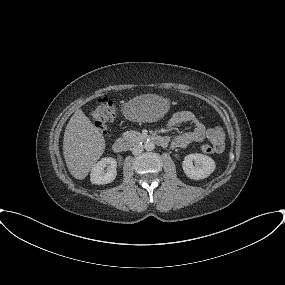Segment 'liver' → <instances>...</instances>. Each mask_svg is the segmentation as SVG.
I'll return each mask as SVG.
<instances>
[{"mask_svg": "<svg viewBox=\"0 0 285 285\" xmlns=\"http://www.w3.org/2000/svg\"><path fill=\"white\" fill-rule=\"evenodd\" d=\"M105 139L81 109L68 122L63 138V155L71 175L84 179L103 154Z\"/></svg>", "mask_w": 285, "mask_h": 285, "instance_id": "obj_1", "label": "liver"}]
</instances>
